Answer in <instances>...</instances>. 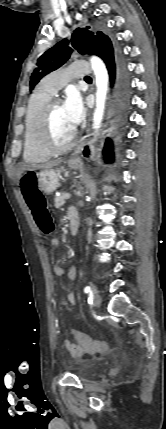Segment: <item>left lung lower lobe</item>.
<instances>
[{
  "label": "left lung lower lobe",
  "mask_w": 166,
  "mask_h": 429,
  "mask_svg": "<svg viewBox=\"0 0 166 429\" xmlns=\"http://www.w3.org/2000/svg\"><path fill=\"white\" fill-rule=\"evenodd\" d=\"M95 55L105 62L111 83H115L114 110L117 123L123 124L126 121V112L129 105V75L122 52L118 48H113L112 43L108 45L97 44ZM88 153V147H86L84 155L87 156ZM103 153L106 162L113 161L112 142L110 139L106 140Z\"/></svg>",
  "instance_id": "obj_1"
}]
</instances>
